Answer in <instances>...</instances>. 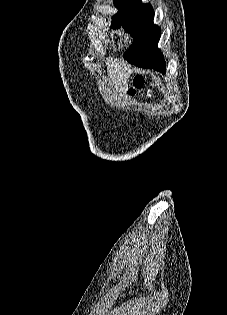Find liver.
I'll use <instances>...</instances> for the list:
<instances>
[{
	"mask_svg": "<svg viewBox=\"0 0 227 315\" xmlns=\"http://www.w3.org/2000/svg\"><path fill=\"white\" fill-rule=\"evenodd\" d=\"M107 67L113 87L121 93H126L128 90V79L132 73L130 66L122 61L112 60L107 62Z\"/></svg>",
	"mask_w": 227,
	"mask_h": 315,
	"instance_id": "obj_1",
	"label": "liver"
}]
</instances>
